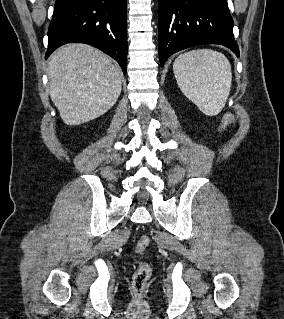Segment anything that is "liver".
<instances>
[{"label":"liver","mask_w":284,"mask_h":319,"mask_svg":"<svg viewBox=\"0 0 284 319\" xmlns=\"http://www.w3.org/2000/svg\"><path fill=\"white\" fill-rule=\"evenodd\" d=\"M50 97L67 125H79L107 112L121 93L119 66L86 44L60 47L48 65Z\"/></svg>","instance_id":"1"}]
</instances>
